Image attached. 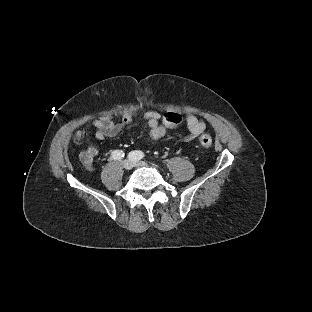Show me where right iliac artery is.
Instances as JSON below:
<instances>
[{
  "instance_id": "1",
  "label": "right iliac artery",
  "mask_w": 312,
  "mask_h": 312,
  "mask_svg": "<svg viewBox=\"0 0 312 312\" xmlns=\"http://www.w3.org/2000/svg\"><path fill=\"white\" fill-rule=\"evenodd\" d=\"M111 155L114 159H121L125 156L124 152L121 150H115L112 152Z\"/></svg>"
}]
</instances>
